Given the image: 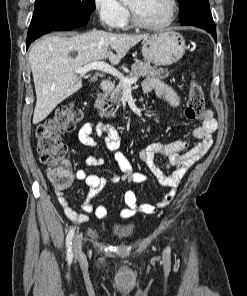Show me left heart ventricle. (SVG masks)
Listing matches in <instances>:
<instances>
[{"label": "left heart ventricle", "mask_w": 247, "mask_h": 296, "mask_svg": "<svg viewBox=\"0 0 247 296\" xmlns=\"http://www.w3.org/2000/svg\"><path fill=\"white\" fill-rule=\"evenodd\" d=\"M127 3L137 17L148 24L163 22L169 13L168 0H128Z\"/></svg>", "instance_id": "b2bd125f"}]
</instances>
